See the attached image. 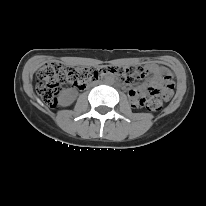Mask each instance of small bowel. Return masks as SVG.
Masks as SVG:
<instances>
[{"mask_svg":"<svg viewBox=\"0 0 206 206\" xmlns=\"http://www.w3.org/2000/svg\"><path fill=\"white\" fill-rule=\"evenodd\" d=\"M150 71L154 75V80H160L166 75H169V72L166 68L158 66V65H151ZM145 90V87H140L138 89L130 88L129 89V95L132 98L134 102H136V99L138 96H140Z\"/></svg>","mask_w":206,"mask_h":206,"instance_id":"small-bowel-1","label":"small bowel"}]
</instances>
